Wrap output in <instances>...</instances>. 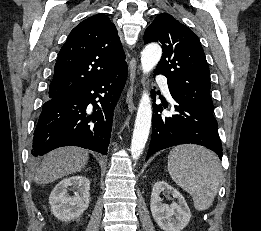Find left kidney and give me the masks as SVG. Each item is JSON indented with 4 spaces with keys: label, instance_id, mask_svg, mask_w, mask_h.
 <instances>
[{
    "label": "left kidney",
    "instance_id": "1",
    "mask_svg": "<svg viewBox=\"0 0 261 231\" xmlns=\"http://www.w3.org/2000/svg\"><path fill=\"white\" fill-rule=\"evenodd\" d=\"M161 193L172 194L177 202L164 204ZM150 209L158 226L164 231H181L189 223L190 209L182 194L165 181H157L152 189Z\"/></svg>",
    "mask_w": 261,
    "mask_h": 231
}]
</instances>
